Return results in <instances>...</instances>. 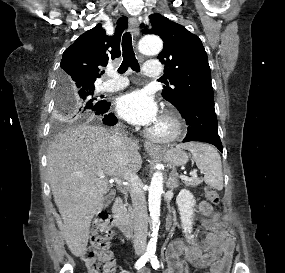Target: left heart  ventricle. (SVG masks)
I'll use <instances>...</instances> for the list:
<instances>
[{"instance_id":"left-heart-ventricle-1","label":"left heart ventricle","mask_w":285,"mask_h":273,"mask_svg":"<svg viewBox=\"0 0 285 273\" xmlns=\"http://www.w3.org/2000/svg\"><path fill=\"white\" fill-rule=\"evenodd\" d=\"M152 129L158 134H165L169 130V126L161 121H157V123L152 127Z\"/></svg>"}]
</instances>
